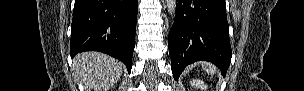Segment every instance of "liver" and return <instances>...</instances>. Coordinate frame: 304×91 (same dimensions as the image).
Masks as SVG:
<instances>
[{"mask_svg":"<svg viewBox=\"0 0 304 91\" xmlns=\"http://www.w3.org/2000/svg\"><path fill=\"white\" fill-rule=\"evenodd\" d=\"M75 77L87 91H107L120 79L124 65L122 62L100 52H84L73 61Z\"/></svg>","mask_w":304,"mask_h":91,"instance_id":"obj_1","label":"liver"}]
</instances>
